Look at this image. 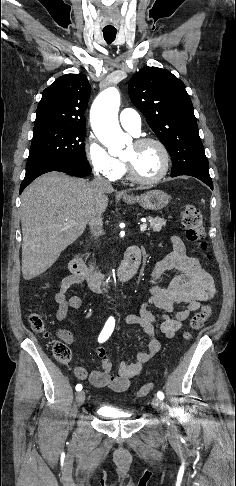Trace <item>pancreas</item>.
I'll return each mask as SVG.
<instances>
[{"label":"pancreas","mask_w":236,"mask_h":486,"mask_svg":"<svg viewBox=\"0 0 236 486\" xmlns=\"http://www.w3.org/2000/svg\"><path fill=\"white\" fill-rule=\"evenodd\" d=\"M149 230L160 232L162 227L166 225V221L161 217H148Z\"/></svg>","instance_id":"1"}]
</instances>
